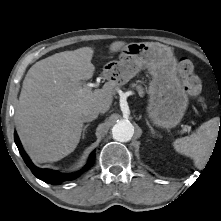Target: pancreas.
Masks as SVG:
<instances>
[{
	"label": "pancreas",
	"instance_id": "obj_1",
	"mask_svg": "<svg viewBox=\"0 0 221 221\" xmlns=\"http://www.w3.org/2000/svg\"><path fill=\"white\" fill-rule=\"evenodd\" d=\"M132 87H135L136 90L138 91V94L140 96H143L144 95V90L143 88L140 86V85H137V84H132Z\"/></svg>",
	"mask_w": 221,
	"mask_h": 221
}]
</instances>
